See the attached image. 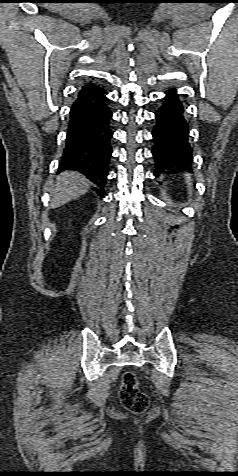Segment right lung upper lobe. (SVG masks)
Returning a JSON list of instances; mask_svg holds the SVG:
<instances>
[{"mask_svg":"<svg viewBox=\"0 0 238 476\" xmlns=\"http://www.w3.org/2000/svg\"><path fill=\"white\" fill-rule=\"evenodd\" d=\"M90 85H91V83L85 84L84 86H82L81 90H82V89H85L86 87H88V86H90Z\"/></svg>","mask_w":238,"mask_h":476,"instance_id":"right-lung-upper-lobe-1","label":"right lung upper lobe"}]
</instances>
